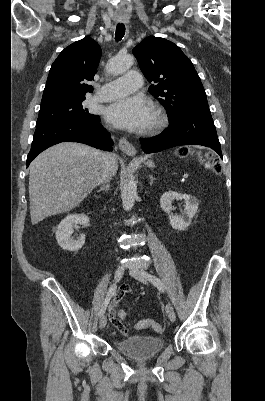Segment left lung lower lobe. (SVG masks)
Returning a JSON list of instances; mask_svg holds the SVG:
<instances>
[{
	"mask_svg": "<svg viewBox=\"0 0 265 401\" xmlns=\"http://www.w3.org/2000/svg\"><path fill=\"white\" fill-rule=\"evenodd\" d=\"M144 153L159 152L180 145H202L215 150L222 158L220 143L210 112H189L170 121L160 135L140 138Z\"/></svg>",
	"mask_w": 265,
	"mask_h": 401,
	"instance_id": "0a47b994",
	"label": "left lung lower lobe"
}]
</instances>
